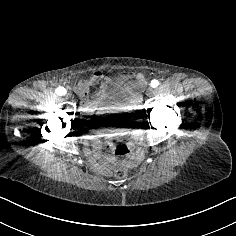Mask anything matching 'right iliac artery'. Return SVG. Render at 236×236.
Returning <instances> with one entry per match:
<instances>
[{
	"label": "right iliac artery",
	"mask_w": 236,
	"mask_h": 236,
	"mask_svg": "<svg viewBox=\"0 0 236 236\" xmlns=\"http://www.w3.org/2000/svg\"><path fill=\"white\" fill-rule=\"evenodd\" d=\"M66 89L64 87H58L56 90H55V93L59 96H63L66 94Z\"/></svg>",
	"instance_id": "82829eb1"
}]
</instances>
